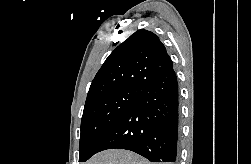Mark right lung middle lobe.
<instances>
[{"label":"right lung middle lobe","mask_w":251,"mask_h":164,"mask_svg":"<svg viewBox=\"0 0 251 164\" xmlns=\"http://www.w3.org/2000/svg\"><path fill=\"white\" fill-rule=\"evenodd\" d=\"M139 88L125 87L99 95L86 102L82 121L79 162H85L119 117L136 101Z\"/></svg>","instance_id":"1"}]
</instances>
